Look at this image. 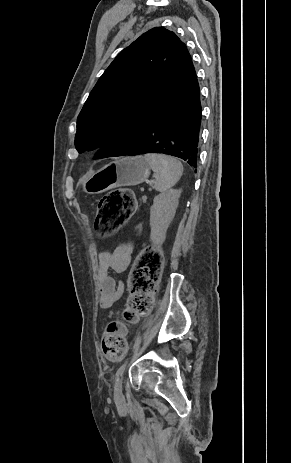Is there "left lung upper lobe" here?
<instances>
[{
    "label": "left lung upper lobe",
    "instance_id": "5c2ea615",
    "mask_svg": "<svg viewBox=\"0 0 291 463\" xmlns=\"http://www.w3.org/2000/svg\"><path fill=\"white\" fill-rule=\"evenodd\" d=\"M195 75L187 47L174 32L155 27L142 34L91 91L77 119L76 149L106 144L97 158L131 150Z\"/></svg>",
    "mask_w": 291,
    "mask_h": 463
}]
</instances>
